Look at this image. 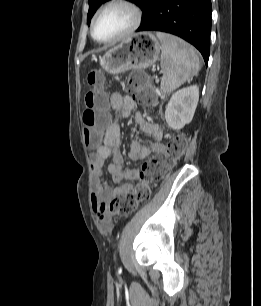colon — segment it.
I'll return each mask as SVG.
<instances>
[{"label":"colon","mask_w":261,"mask_h":306,"mask_svg":"<svg viewBox=\"0 0 261 306\" xmlns=\"http://www.w3.org/2000/svg\"><path fill=\"white\" fill-rule=\"evenodd\" d=\"M90 89L85 96V110L83 113L84 135L88 147L97 146L102 138L107 123L104 110L106 95V78L100 70H90L87 74ZM128 90L135 102L141 105L151 104L155 99V92L150 86L148 78L141 72L128 75ZM186 138L182 135L172 137L166 146L146 160L138 171V183L132 191L119 194L109 205V214L118 219L131 214L137 206L146 201L151 194V185L160 181L167 171L183 155Z\"/></svg>","instance_id":"obj_1"}]
</instances>
